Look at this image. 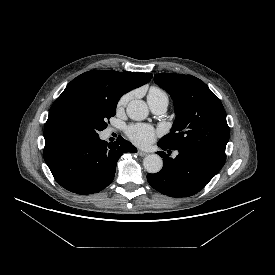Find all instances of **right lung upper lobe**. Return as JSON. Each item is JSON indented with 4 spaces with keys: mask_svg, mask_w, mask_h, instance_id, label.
<instances>
[{
    "mask_svg": "<svg viewBox=\"0 0 275 275\" xmlns=\"http://www.w3.org/2000/svg\"><path fill=\"white\" fill-rule=\"evenodd\" d=\"M151 78V73L101 70H91L79 75L67 85L51 106L44 128V138L57 136L51 130V120L59 107L70 98L84 94H96L119 100L124 93L146 84Z\"/></svg>",
    "mask_w": 275,
    "mask_h": 275,
    "instance_id": "obj_1",
    "label": "right lung upper lobe"
}]
</instances>
